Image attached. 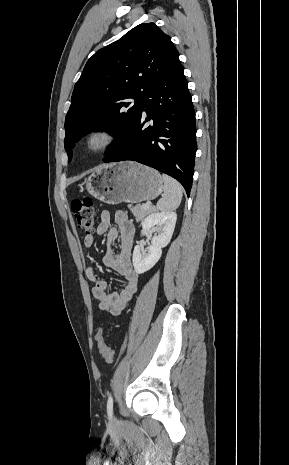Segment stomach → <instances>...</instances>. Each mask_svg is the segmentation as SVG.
<instances>
[{
	"instance_id": "1",
	"label": "stomach",
	"mask_w": 289,
	"mask_h": 465,
	"mask_svg": "<svg viewBox=\"0 0 289 465\" xmlns=\"http://www.w3.org/2000/svg\"><path fill=\"white\" fill-rule=\"evenodd\" d=\"M83 184L89 194L107 204L152 200L163 189L160 173L136 162L104 165L94 171Z\"/></svg>"
}]
</instances>
